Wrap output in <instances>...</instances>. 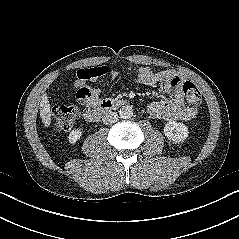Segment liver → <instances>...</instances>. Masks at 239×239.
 Returning <instances> with one entry per match:
<instances>
[{"label":"liver","mask_w":239,"mask_h":239,"mask_svg":"<svg viewBox=\"0 0 239 239\" xmlns=\"http://www.w3.org/2000/svg\"><path fill=\"white\" fill-rule=\"evenodd\" d=\"M50 103L47 94H43L41 103H40V117L42 119V123L45 127H49L51 123V111H50Z\"/></svg>","instance_id":"obj_1"}]
</instances>
